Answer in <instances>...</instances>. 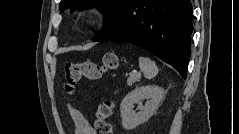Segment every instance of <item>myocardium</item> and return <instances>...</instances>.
I'll use <instances>...</instances> for the list:
<instances>
[{
  "mask_svg": "<svg viewBox=\"0 0 239 134\" xmlns=\"http://www.w3.org/2000/svg\"><path fill=\"white\" fill-rule=\"evenodd\" d=\"M82 22L86 25V26H94L97 22V14L94 11H89L86 12L83 16H82Z\"/></svg>",
  "mask_w": 239,
  "mask_h": 134,
  "instance_id": "myocardium-1",
  "label": "myocardium"
}]
</instances>
